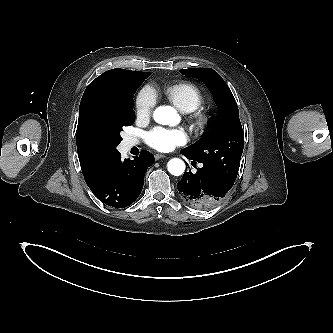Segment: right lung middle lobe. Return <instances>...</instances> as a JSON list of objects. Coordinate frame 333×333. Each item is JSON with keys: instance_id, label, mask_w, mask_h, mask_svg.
Returning a JSON list of instances; mask_svg holds the SVG:
<instances>
[{"instance_id": "dd1d6c3e", "label": "right lung middle lobe", "mask_w": 333, "mask_h": 333, "mask_svg": "<svg viewBox=\"0 0 333 333\" xmlns=\"http://www.w3.org/2000/svg\"><path fill=\"white\" fill-rule=\"evenodd\" d=\"M151 73L142 72L123 92L108 96L101 106V113L93 127L92 140L95 148L106 156L118 154L116 146L121 142L124 126L135 121L133 96Z\"/></svg>"}]
</instances>
